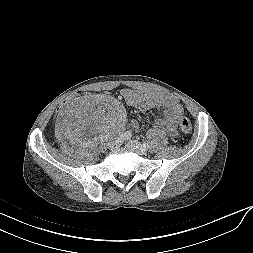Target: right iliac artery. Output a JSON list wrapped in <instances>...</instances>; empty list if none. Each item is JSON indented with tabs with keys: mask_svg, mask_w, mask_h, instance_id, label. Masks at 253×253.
<instances>
[{
	"mask_svg": "<svg viewBox=\"0 0 253 253\" xmlns=\"http://www.w3.org/2000/svg\"><path fill=\"white\" fill-rule=\"evenodd\" d=\"M131 136H132V134H131V132L130 131H126V132H124L122 135H121V137H122V139H130L131 138Z\"/></svg>",
	"mask_w": 253,
	"mask_h": 253,
	"instance_id": "82829eb1",
	"label": "right iliac artery"
}]
</instances>
